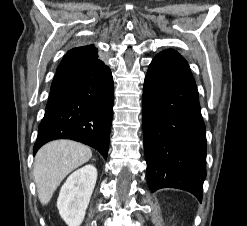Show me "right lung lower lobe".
<instances>
[{
	"mask_svg": "<svg viewBox=\"0 0 247 226\" xmlns=\"http://www.w3.org/2000/svg\"><path fill=\"white\" fill-rule=\"evenodd\" d=\"M113 78L94 46L69 50L57 67L34 154L55 139H72L106 159L113 117Z\"/></svg>",
	"mask_w": 247,
	"mask_h": 226,
	"instance_id": "1",
	"label": "right lung lower lobe"
}]
</instances>
